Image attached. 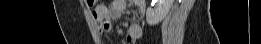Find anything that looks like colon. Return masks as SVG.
<instances>
[{"instance_id": "obj_1", "label": "colon", "mask_w": 261, "mask_h": 44, "mask_svg": "<svg viewBox=\"0 0 261 44\" xmlns=\"http://www.w3.org/2000/svg\"><path fill=\"white\" fill-rule=\"evenodd\" d=\"M88 5H89V6H96V5H97V2H96V1H89V2H88Z\"/></svg>"}]
</instances>
